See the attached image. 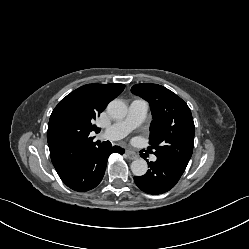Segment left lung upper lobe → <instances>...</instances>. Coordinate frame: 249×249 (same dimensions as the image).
Masks as SVG:
<instances>
[{"instance_id": "left-lung-upper-lobe-1", "label": "left lung upper lobe", "mask_w": 249, "mask_h": 249, "mask_svg": "<svg viewBox=\"0 0 249 249\" xmlns=\"http://www.w3.org/2000/svg\"><path fill=\"white\" fill-rule=\"evenodd\" d=\"M150 104V149L156 156L188 164L195 126L188 105L175 93L157 84H137L131 89Z\"/></svg>"}]
</instances>
